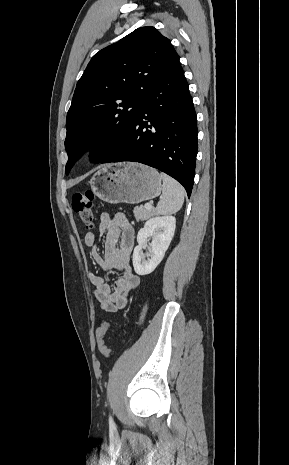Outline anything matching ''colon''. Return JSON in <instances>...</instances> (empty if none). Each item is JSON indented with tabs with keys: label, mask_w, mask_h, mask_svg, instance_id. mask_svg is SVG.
Listing matches in <instances>:
<instances>
[{
	"label": "colon",
	"mask_w": 289,
	"mask_h": 465,
	"mask_svg": "<svg viewBox=\"0 0 289 465\" xmlns=\"http://www.w3.org/2000/svg\"><path fill=\"white\" fill-rule=\"evenodd\" d=\"M71 205L74 213L79 221L86 227L91 228L94 223V194L90 190L77 191L72 195ZM111 325L108 322H103L97 328L96 340L99 351L105 357L111 355L110 349L104 342V335L110 329Z\"/></svg>",
	"instance_id": "obj_1"
}]
</instances>
